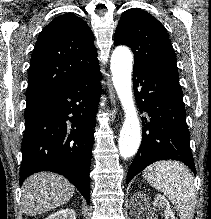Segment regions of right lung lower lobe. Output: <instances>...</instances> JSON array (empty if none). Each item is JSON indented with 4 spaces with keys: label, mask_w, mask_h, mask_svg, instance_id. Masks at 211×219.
<instances>
[{
    "label": "right lung lower lobe",
    "mask_w": 211,
    "mask_h": 219,
    "mask_svg": "<svg viewBox=\"0 0 211 219\" xmlns=\"http://www.w3.org/2000/svg\"><path fill=\"white\" fill-rule=\"evenodd\" d=\"M101 78L97 67L27 103L20 184L39 171L59 173L89 204V170Z\"/></svg>",
    "instance_id": "right-lung-lower-lobe-1"
}]
</instances>
